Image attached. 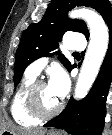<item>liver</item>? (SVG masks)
I'll list each match as a JSON object with an SVG mask.
<instances>
[{"instance_id":"1","label":"liver","mask_w":112,"mask_h":135,"mask_svg":"<svg viewBox=\"0 0 112 135\" xmlns=\"http://www.w3.org/2000/svg\"><path fill=\"white\" fill-rule=\"evenodd\" d=\"M8 129L10 132L14 135H45V130L44 129H39V130H23L20 128H17L13 125H9Z\"/></svg>"}]
</instances>
